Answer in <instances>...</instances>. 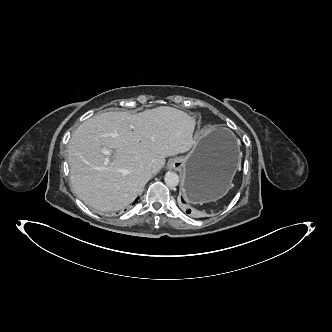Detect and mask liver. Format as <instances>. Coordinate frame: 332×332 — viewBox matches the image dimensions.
I'll return each instance as SVG.
<instances>
[{
	"instance_id": "6515ba94",
	"label": "liver",
	"mask_w": 332,
	"mask_h": 332,
	"mask_svg": "<svg viewBox=\"0 0 332 332\" xmlns=\"http://www.w3.org/2000/svg\"><path fill=\"white\" fill-rule=\"evenodd\" d=\"M194 129L192 117L168 106L136 115L112 111L91 117L68 144L74 192L99 211L124 209L162 169L166 157L186 153L197 144L201 136L193 137ZM150 163L152 171L146 169Z\"/></svg>"
}]
</instances>
